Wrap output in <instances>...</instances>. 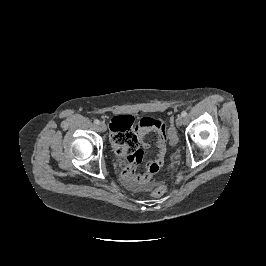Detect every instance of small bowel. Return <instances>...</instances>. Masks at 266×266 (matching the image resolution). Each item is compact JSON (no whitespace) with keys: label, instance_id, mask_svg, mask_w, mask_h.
<instances>
[{"label":"small bowel","instance_id":"obj_1","mask_svg":"<svg viewBox=\"0 0 266 266\" xmlns=\"http://www.w3.org/2000/svg\"><path fill=\"white\" fill-rule=\"evenodd\" d=\"M111 142L117 154L123 158L124 164L121 177L124 183L133 190L142 189L144 184L163 166L166 156V125L153 118H142L135 122L130 115H118L110 123ZM147 131H154L157 135L156 158L147 164L145 172H138L144 156V149L149 144L144 141ZM171 142L175 139L174 131L169 132Z\"/></svg>","mask_w":266,"mask_h":266}]
</instances>
